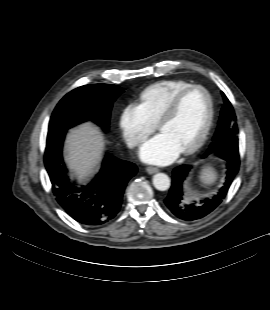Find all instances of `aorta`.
Segmentation results:
<instances>
[{
  "label": "aorta",
  "mask_w": 270,
  "mask_h": 310,
  "mask_svg": "<svg viewBox=\"0 0 270 310\" xmlns=\"http://www.w3.org/2000/svg\"><path fill=\"white\" fill-rule=\"evenodd\" d=\"M153 185L159 191H166L170 187V179L165 173H157L153 176Z\"/></svg>",
  "instance_id": "aorta-1"
}]
</instances>
